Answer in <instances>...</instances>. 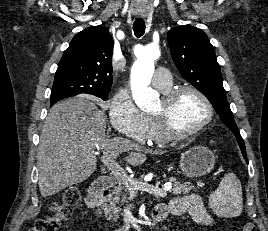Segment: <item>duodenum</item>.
Masks as SVG:
<instances>
[{
	"label": "duodenum",
	"instance_id": "duodenum-1",
	"mask_svg": "<svg viewBox=\"0 0 268 231\" xmlns=\"http://www.w3.org/2000/svg\"><path fill=\"white\" fill-rule=\"evenodd\" d=\"M116 179L112 176H103L99 178L91 187L90 194L87 197V205L90 208L98 210L100 214L101 204L108 197L109 190L115 185Z\"/></svg>",
	"mask_w": 268,
	"mask_h": 231
}]
</instances>
